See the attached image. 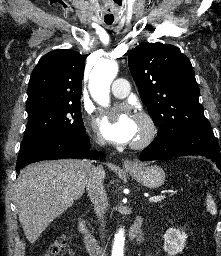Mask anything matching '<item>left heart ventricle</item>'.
<instances>
[{
	"mask_svg": "<svg viewBox=\"0 0 221 256\" xmlns=\"http://www.w3.org/2000/svg\"><path fill=\"white\" fill-rule=\"evenodd\" d=\"M137 124H138V131H137L135 139L139 138L142 135L143 131H144V126L141 123V121H139L138 119H137Z\"/></svg>",
	"mask_w": 221,
	"mask_h": 256,
	"instance_id": "b2bd125f",
	"label": "left heart ventricle"
}]
</instances>
